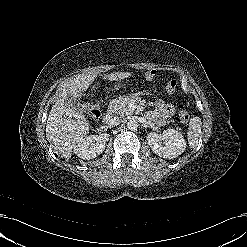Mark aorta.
Here are the masks:
<instances>
[{"mask_svg":"<svg viewBox=\"0 0 247 247\" xmlns=\"http://www.w3.org/2000/svg\"><path fill=\"white\" fill-rule=\"evenodd\" d=\"M127 127L128 129L135 131L138 129L139 127V123L136 119L132 118L127 122Z\"/></svg>","mask_w":247,"mask_h":247,"instance_id":"762f6f07","label":"aorta"}]
</instances>
